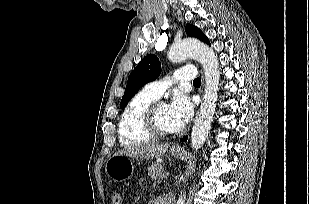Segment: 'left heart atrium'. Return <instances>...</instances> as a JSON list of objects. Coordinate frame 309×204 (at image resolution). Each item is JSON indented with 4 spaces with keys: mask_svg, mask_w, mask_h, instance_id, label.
Returning a JSON list of instances; mask_svg holds the SVG:
<instances>
[{
    "mask_svg": "<svg viewBox=\"0 0 309 204\" xmlns=\"http://www.w3.org/2000/svg\"><path fill=\"white\" fill-rule=\"evenodd\" d=\"M168 107L174 131L185 127L190 121L194 111L189 97L183 94L176 95Z\"/></svg>",
    "mask_w": 309,
    "mask_h": 204,
    "instance_id": "39dd6f15",
    "label": "left heart atrium"
}]
</instances>
